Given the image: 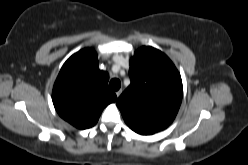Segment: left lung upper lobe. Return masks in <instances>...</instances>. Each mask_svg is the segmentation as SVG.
Listing matches in <instances>:
<instances>
[{"label": "left lung upper lobe", "mask_w": 248, "mask_h": 165, "mask_svg": "<svg viewBox=\"0 0 248 165\" xmlns=\"http://www.w3.org/2000/svg\"><path fill=\"white\" fill-rule=\"evenodd\" d=\"M131 84L116 104L135 132L151 135L174 120L183 95L181 76L172 61L150 46L138 49L130 60Z\"/></svg>", "instance_id": "obj_1"}]
</instances>
